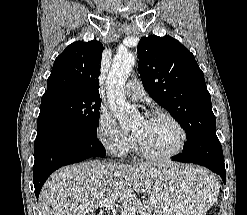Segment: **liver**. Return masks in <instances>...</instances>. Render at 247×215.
Segmentation results:
<instances>
[{
	"label": "liver",
	"mask_w": 247,
	"mask_h": 215,
	"mask_svg": "<svg viewBox=\"0 0 247 215\" xmlns=\"http://www.w3.org/2000/svg\"><path fill=\"white\" fill-rule=\"evenodd\" d=\"M173 162H144L113 166L83 162L63 167L44 184L40 196L43 215H95L94 206L103 198L125 207L137 193L149 191Z\"/></svg>",
	"instance_id": "liver-1"
}]
</instances>
